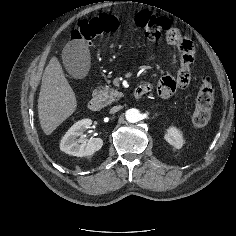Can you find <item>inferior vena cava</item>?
Segmentation results:
<instances>
[{
  "instance_id": "inferior-vena-cava-1",
  "label": "inferior vena cava",
  "mask_w": 236,
  "mask_h": 236,
  "mask_svg": "<svg viewBox=\"0 0 236 236\" xmlns=\"http://www.w3.org/2000/svg\"><path fill=\"white\" fill-rule=\"evenodd\" d=\"M122 107L119 105V106H114L111 108L110 110V113H116L118 112Z\"/></svg>"
}]
</instances>
